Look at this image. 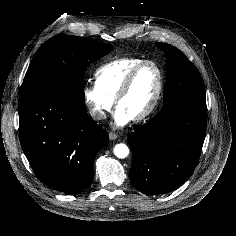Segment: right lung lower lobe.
<instances>
[{
  "mask_svg": "<svg viewBox=\"0 0 236 236\" xmlns=\"http://www.w3.org/2000/svg\"><path fill=\"white\" fill-rule=\"evenodd\" d=\"M20 141L39 181L76 195L94 177V159L107 132L88 117L83 99L39 91L19 99Z\"/></svg>",
  "mask_w": 236,
  "mask_h": 236,
  "instance_id": "1",
  "label": "right lung lower lobe"
}]
</instances>
